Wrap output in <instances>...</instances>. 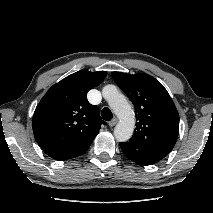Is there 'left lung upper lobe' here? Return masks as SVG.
I'll return each mask as SVG.
<instances>
[{"label":"left lung upper lobe","mask_w":213,"mask_h":213,"mask_svg":"<svg viewBox=\"0 0 213 213\" xmlns=\"http://www.w3.org/2000/svg\"><path fill=\"white\" fill-rule=\"evenodd\" d=\"M111 75L135 108L136 129L125 144L141 153L164 158L173 149L179 133V114L167 90L147 74Z\"/></svg>","instance_id":"1"}]
</instances>
